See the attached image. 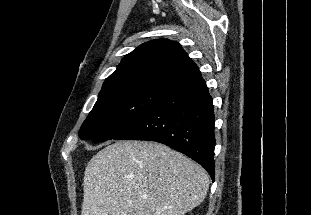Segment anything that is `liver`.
Segmentation results:
<instances>
[{
  "instance_id": "6515ba94",
  "label": "liver",
  "mask_w": 311,
  "mask_h": 215,
  "mask_svg": "<svg viewBox=\"0 0 311 215\" xmlns=\"http://www.w3.org/2000/svg\"><path fill=\"white\" fill-rule=\"evenodd\" d=\"M81 215H184L206 197L209 176L171 148L119 141L88 162Z\"/></svg>"
}]
</instances>
